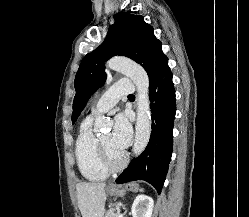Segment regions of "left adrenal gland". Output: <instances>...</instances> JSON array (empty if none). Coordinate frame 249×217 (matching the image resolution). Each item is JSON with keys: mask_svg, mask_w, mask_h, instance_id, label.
Here are the masks:
<instances>
[{"mask_svg": "<svg viewBox=\"0 0 249 217\" xmlns=\"http://www.w3.org/2000/svg\"><path fill=\"white\" fill-rule=\"evenodd\" d=\"M123 209H125V213L127 212L126 208H125V205L123 206Z\"/></svg>", "mask_w": 249, "mask_h": 217, "instance_id": "1", "label": "left adrenal gland"}]
</instances>
